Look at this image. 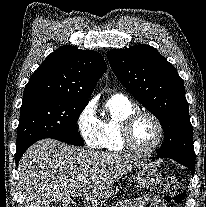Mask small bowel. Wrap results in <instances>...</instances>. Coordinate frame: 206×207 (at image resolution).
Instances as JSON below:
<instances>
[{
    "instance_id": "c3829d8e",
    "label": "small bowel",
    "mask_w": 206,
    "mask_h": 207,
    "mask_svg": "<svg viewBox=\"0 0 206 207\" xmlns=\"http://www.w3.org/2000/svg\"><path fill=\"white\" fill-rule=\"evenodd\" d=\"M167 207V204L158 197L143 196L141 198L130 200L126 203H120L116 207Z\"/></svg>"
}]
</instances>
